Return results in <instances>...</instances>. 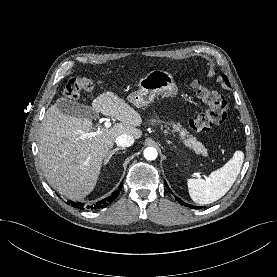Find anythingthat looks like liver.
<instances>
[{
	"instance_id": "1",
	"label": "liver",
	"mask_w": 277,
	"mask_h": 277,
	"mask_svg": "<svg viewBox=\"0 0 277 277\" xmlns=\"http://www.w3.org/2000/svg\"><path fill=\"white\" fill-rule=\"evenodd\" d=\"M96 113L121 121L95 137L88 118L66 115L56 105L48 108L38 131L39 162L48 183L67 198L79 200L96 186L104 158L119 135L139 139L142 116L123 98L105 91L92 101Z\"/></svg>"
}]
</instances>
